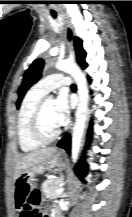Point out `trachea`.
Listing matches in <instances>:
<instances>
[{"label":"trachea","mask_w":132,"mask_h":217,"mask_svg":"<svg viewBox=\"0 0 132 217\" xmlns=\"http://www.w3.org/2000/svg\"><path fill=\"white\" fill-rule=\"evenodd\" d=\"M52 16H53L54 18H56V14H55V13H52ZM71 87H72V88H76V85H75V84H72Z\"/></svg>","instance_id":"1"}]
</instances>
